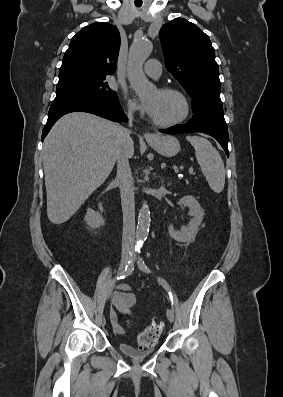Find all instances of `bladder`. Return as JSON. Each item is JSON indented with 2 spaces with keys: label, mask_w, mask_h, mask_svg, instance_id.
Here are the masks:
<instances>
[{
  "label": "bladder",
  "mask_w": 283,
  "mask_h": 397,
  "mask_svg": "<svg viewBox=\"0 0 283 397\" xmlns=\"http://www.w3.org/2000/svg\"><path fill=\"white\" fill-rule=\"evenodd\" d=\"M117 349L119 350L120 353L131 359L141 360L156 352L157 342H155L153 345H151L148 348H136L130 344L120 342L117 344Z\"/></svg>",
  "instance_id": "31cf9c89"
}]
</instances>
